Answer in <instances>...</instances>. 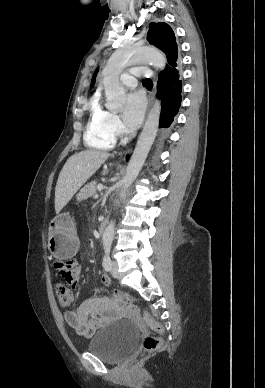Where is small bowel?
<instances>
[{
	"label": "small bowel",
	"instance_id": "obj_1",
	"mask_svg": "<svg viewBox=\"0 0 265 388\" xmlns=\"http://www.w3.org/2000/svg\"><path fill=\"white\" fill-rule=\"evenodd\" d=\"M56 268L70 288L79 286L81 268L77 259L58 262ZM102 282L109 286L112 281L109 275L104 273ZM124 310L122 303L109 297H93L83 302L75 311H67L64 318L76 333L91 337L100 327L120 317Z\"/></svg>",
	"mask_w": 265,
	"mask_h": 388
}]
</instances>
